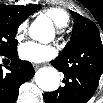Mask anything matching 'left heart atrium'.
<instances>
[{
    "label": "left heart atrium",
    "instance_id": "1",
    "mask_svg": "<svg viewBox=\"0 0 103 103\" xmlns=\"http://www.w3.org/2000/svg\"><path fill=\"white\" fill-rule=\"evenodd\" d=\"M55 55L56 51L51 45L29 41L21 44L19 47L20 58L33 63L44 62Z\"/></svg>",
    "mask_w": 103,
    "mask_h": 103
}]
</instances>
